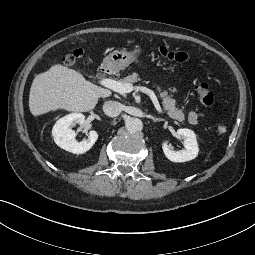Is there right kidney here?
Here are the masks:
<instances>
[{
  "label": "right kidney",
  "mask_w": 255,
  "mask_h": 255,
  "mask_svg": "<svg viewBox=\"0 0 255 255\" xmlns=\"http://www.w3.org/2000/svg\"><path fill=\"white\" fill-rule=\"evenodd\" d=\"M85 116L81 113H72L59 119L53 129L52 135L55 143L62 149L74 153L83 154L92 148L98 139L96 131H90L87 139L77 142L75 140V131L71 129L76 124L84 125Z\"/></svg>",
  "instance_id": "ca27d5eb"
}]
</instances>
